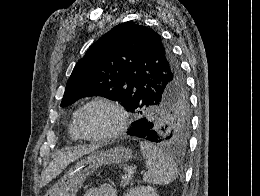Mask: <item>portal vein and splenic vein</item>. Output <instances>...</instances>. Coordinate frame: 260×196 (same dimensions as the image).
Returning <instances> with one entry per match:
<instances>
[{
	"label": "portal vein and splenic vein",
	"mask_w": 260,
	"mask_h": 196,
	"mask_svg": "<svg viewBox=\"0 0 260 196\" xmlns=\"http://www.w3.org/2000/svg\"><path fill=\"white\" fill-rule=\"evenodd\" d=\"M129 170H127L129 176H133L134 172H133V166H128Z\"/></svg>",
	"instance_id": "portal-vein-and-splenic-vein-1"
}]
</instances>
